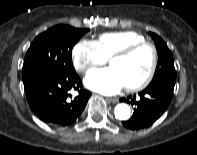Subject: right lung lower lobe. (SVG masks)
Returning a JSON list of instances; mask_svg holds the SVG:
<instances>
[{"instance_id":"1","label":"right lung lower lobe","mask_w":197,"mask_h":155,"mask_svg":"<svg viewBox=\"0 0 197 155\" xmlns=\"http://www.w3.org/2000/svg\"><path fill=\"white\" fill-rule=\"evenodd\" d=\"M78 90L72 101L69 91ZM80 89V90H79ZM31 110L42 121L54 126L70 125L82 113L91 93L82 89L76 72L47 78L25 91Z\"/></svg>"}]
</instances>
